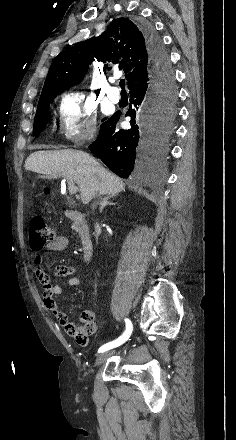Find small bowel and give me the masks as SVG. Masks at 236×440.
I'll return each mask as SVG.
<instances>
[{
  "label": "small bowel",
  "mask_w": 236,
  "mask_h": 440,
  "mask_svg": "<svg viewBox=\"0 0 236 440\" xmlns=\"http://www.w3.org/2000/svg\"><path fill=\"white\" fill-rule=\"evenodd\" d=\"M69 246V238L65 235L56 236L49 242L45 248L47 251H63ZM43 260V250H37L34 257L35 275L44 291L42 302L44 307L49 310L58 320L59 324L65 328L68 335L74 337L79 345L86 346L89 343L90 336L94 333L96 323L93 320L94 314L87 309L81 313L79 327L75 326L73 321H69L65 313H63L54 299V296L61 294L65 288L77 287L81 280L74 276L75 269L70 265H59L54 270L56 277H68L62 284H54L49 275L41 266Z\"/></svg>",
  "instance_id": "c3829d8e"
}]
</instances>
